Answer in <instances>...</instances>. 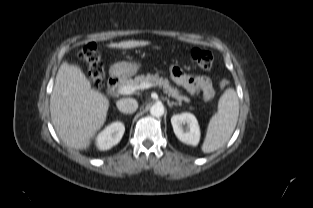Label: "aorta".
I'll return each mask as SVG.
<instances>
[{"label": "aorta", "instance_id": "obj_1", "mask_svg": "<svg viewBox=\"0 0 313 208\" xmlns=\"http://www.w3.org/2000/svg\"><path fill=\"white\" fill-rule=\"evenodd\" d=\"M150 114L154 117H161L164 114V106L162 103H155L150 108Z\"/></svg>", "mask_w": 313, "mask_h": 208}]
</instances>
